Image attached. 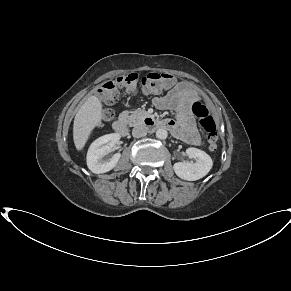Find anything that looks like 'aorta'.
<instances>
[{
	"label": "aorta",
	"mask_w": 291,
	"mask_h": 291,
	"mask_svg": "<svg viewBox=\"0 0 291 291\" xmlns=\"http://www.w3.org/2000/svg\"><path fill=\"white\" fill-rule=\"evenodd\" d=\"M167 136H168V132L165 130V129H158L157 131H156V137L158 138V139H161V140H164V139H166L167 138Z\"/></svg>",
	"instance_id": "1"
}]
</instances>
